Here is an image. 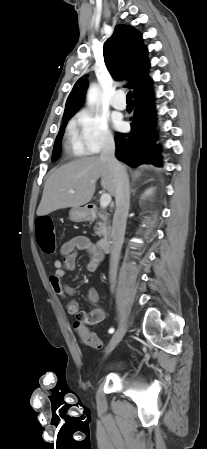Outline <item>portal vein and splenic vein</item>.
Segmentation results:
<instances>
[{
	"instance_id": "18ae733b",
	"label": "portal vein and splenic vein",
	"mask_w": 207,
	"mask_h": 449,
	"mask_svg": "<svg viewBox=\"0 0 207 449\" xmlns=\"http://www.w3.org/2000/svg\"><path fill=\"white\" fill-rule=\"evenodd\" d=\"M71 193H74V191H70ZM111 195L110 194H108V193H104V194H102V196H101V198H100V206L102 207V208H105V207H107L109 204H110V202H111Z\"/></svg>"
}]
</instances>
